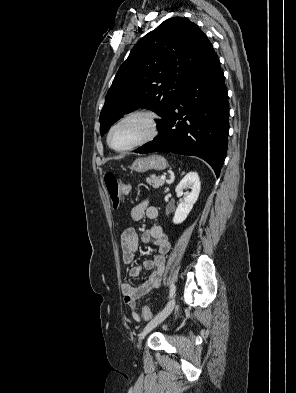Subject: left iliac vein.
Segmentation results:
<instances>
[{
    "label": "left iliac vein",
    "mask_w": 296,
    "mask_h": 393,
    "mask_svg": "<svg viewBox=\"0 0 296 393\" xmlns=\"http://www.w3.org/2000/svg\"><path fill=\"white\" fill-rule=\"evenodd\" d=\"M175 306V297L169 300L166 306L163 308L161 312H159L144 328L143 332L140 334V341L148 334L151 330H153L157 325L163 322L172 312Z\"/></svg>",
    "instance_id": "obj_1"
}]
</instances>
